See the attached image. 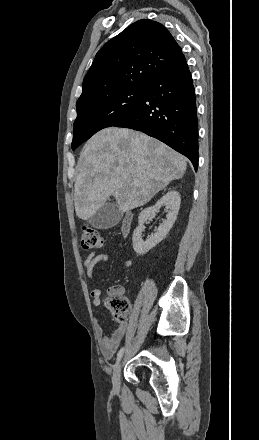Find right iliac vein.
I'll return each mask as SVG.
<instances>
[{"label":"right iliac vein","mask_w":259,"mask_h":440,"mask_svg":"<svg viewBox=\"0 0 259 440\" xmlns=\"http://www.w3.org/2000/svg\"><path fill=\"white\" fill-rule=\"evenodd\" d=\"M122 364H123V360L120 359L114 369L112 381H113V386L115 389H118L120 386V376H121Z\"/></svg>","instance_id":"obj_1"}]
</instances>
